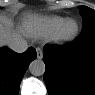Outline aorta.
Masks as SVG:
<instances>
[{"label":"aorta","mask_w":95,"mask_h":95,"mask_svg":"<svg viewBox=\"0 0 95 95\" xmlns=\"http://www.w3.org/2000/svg\"><path fill=\"white\" fill-rule=\"evenodd\" d=\"M45 63L42 60L36 59L29 65V71L34 76H41L45 73Z\"/></svg>","instance_id":"aorta-1"}]
</instances>
